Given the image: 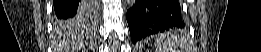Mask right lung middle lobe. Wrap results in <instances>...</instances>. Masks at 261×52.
<instances>
[{"label":"right lung middle lobe","instance_id":"right-lung-middle-lobe-1","mask_svg":"<svg viewBox=\"0 0 261 52\" xmlns=\"http://www.w3.org/2000/svg\"><path fill=\"white\" fill-rule=\"evenodd\" d=\"M86 6L87 8H91L93 10H95L98 6V3L96 1H89V2H86ZM85 17V11H82L80 14H78L77 16H75L74 18H71V19H58L57 20V24L59 26H69L71 25L72 22H79L81 20H83ZM90 22V20H89Z\"/></svg>","mask_w":261,"mask_h":52}]
</instances>
